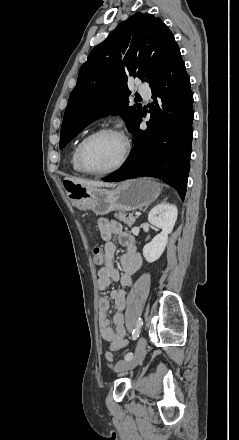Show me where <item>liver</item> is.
Returning a JSON list of instances; mask_svg holds the SVG:
<instances>
[{
    "label": "liver",
    "mask_w": 239,
    "mask_h": 440,
    "mask_svg": "<svg viewBox=\"0 0 239 440\" xmlns=\"http://www.w3.org/2000/svg\"><path fill=\"white\" fill-rule=\"evenodd\" d=\"M73 184H81L83 188H89V190H96V188H115L117 184H105V182H89V180H81V178H66Z\"/></svg>",
    "instance_id": "1"
}]
</instances>
